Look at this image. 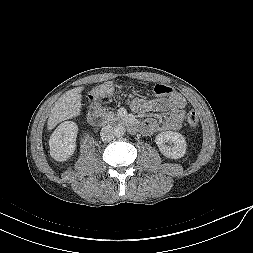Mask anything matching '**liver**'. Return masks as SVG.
<instances>
[{
  "mask_svg": "<svg viewBox=\"0 0 253 253\" xmlns=\"http://www.w3.org/2000/svg\"><path fill=\"white\" fill-rule=\"evenodd\" d=\"M84 87H76L66 91L55 103L47 122V129L52 130L62 121L76 117L81 112V92Z\"/></svg>",
  "mask_w": 253,
  "mask_h": 253,
  "instance_id": "liver-1",
  "label": "liver"
}]
</instances>
